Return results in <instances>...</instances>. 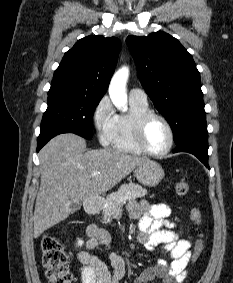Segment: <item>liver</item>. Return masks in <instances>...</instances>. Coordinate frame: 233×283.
Returning a JSON list of instances; mask_svg holds the SVG:
<instances>
[{
	"mask_svg": "<svg viewBox=\"0 0 233 283\" xmlns=\"http://www.w3.org/2000/svg\"><path fill=\"white\" fill-rule=\"evenodd\" d=\"M41 183L34 210V238L65 220L72 204L97 197L116 186L148 158L112 149L86 150L83 138L64 133L39 152ZM94 171L100 172L91 176Z\"/></svg>",
	"mask_w": 233,
	"mask_h": 283,
	"instance_id": "6515ba94",
	"label": "liver"
}]
</instances>
